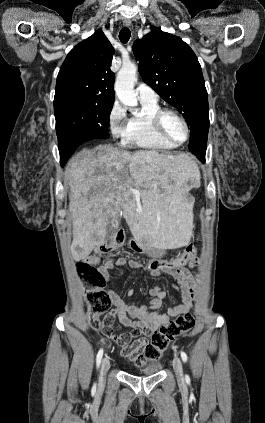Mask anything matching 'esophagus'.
<instances>
[{
    "mask_svg": "<svg viewBox=\"0 0 265 423\" xmlns=\"http://www.w3.org/2000/svg\"><path fill=\"white\" fill-rule=\"evenodd\" d=\"M123 26H124V27H130V26H131V21H130V20H128V19H125V20L123 21Z\"/></svg>",
    "mask_w": 265,
    "mask_h": 423,
    "instance_id": "esophagus-1",
    "label": "esophagus"
}]
</instances>
